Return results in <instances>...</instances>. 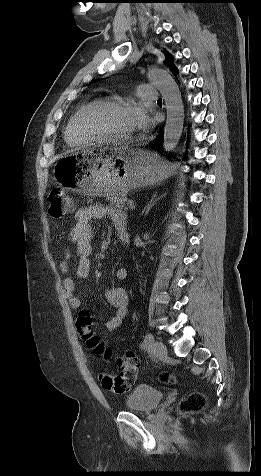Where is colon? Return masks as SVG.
Masks as SVG:
<instances>
[{"mask_svg": "<svg viewBox=\"0 0 261 476\" xmlns=\"http://www.w3.org/2000/svg\"><path fill=\"white\" fill-rule=\"evenodd\" d=\"M49 211L53 217L61 218L74 210V202L65 188L62 186L54 187L49 194ZM92 317L89 312H80L77 318V330L87 347L98 355L109 357L111 351L106 348L100 338L92 331ZM120 372L118 374L101 373L99 380L104 389L107 391L122 394L127 392L135 382L139 371V360L131 352H128L121 360ZM163 379L171 383L174 376L165 374ZM206 406V398L202 393L192 392L184 397L179 403V411L182 413L199 412Z\"/></svg>", "mask_w": 261, "mask_h": 476, "instance_id": "5ec220e1", "label": "colon"}]
</instances>
